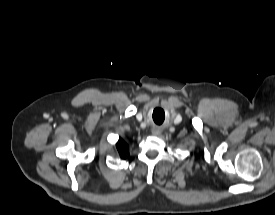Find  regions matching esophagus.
Here are the masks:
<instances>
[{
	"instance_id": "obj_1",
	"label": "esophagus",
	"mask_w": 275,
	"mask_h": 215,
	"mask_svg": "<svg viewBox=\"0 0 275 215\" xmlns=\"http://www.w3.org/2000/svg\"><path fill=\"white\" fill-rule=\"evenodd\" d=\"M152 133H153L154 135H158V131H157V130H153Z\"/></svg>"
}]
</instances>
